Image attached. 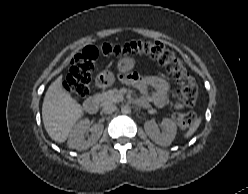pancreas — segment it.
<instances>
[{"instance_id":"pancreas-1","label":"pancreas","mask_w":248,"mask_h":194,"mask_svg":"<svg viewBox=\"0 0 248 194\" xmlns=\"http://www.w3.org/2000/svg\"><path fill=\"white\" fill-rule=\"evenodd\" d=\"M97 97L100 99L101 105L116 103L123 100V95L117 89L98 94Z\"/></svg>"}]
</instances>
